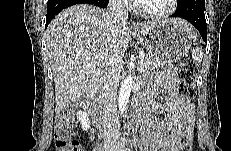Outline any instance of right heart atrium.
<instances>
[{
	"label": "right heart atrium",
	"mask_w": 231,
	"mask_h": 151,
	"mask_svg": "<svg viewBox=\"0 0 231 151\" xmlns=\"http://www.w3.org/2000/svg\"><path fill=\"white\" fill-rule=\"evenodd\" d=\"M115 4L120 8H125L127 6V1H125V0H116Z\"/></svg>",
	"instance_id": "d8ad5b80"
}]
</instances>
